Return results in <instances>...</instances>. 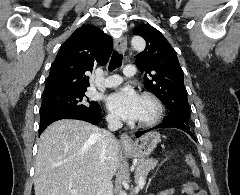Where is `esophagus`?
<instances>
[{
    "label": "esophagus",
    "mask_w": 240,
    "mask_h": 195,
    "mask_svg": "<svg viewBox=\"0 0 240 195\" xmlns=\"http://www.w3.org/2000/svg\"><path fill=\"white\" fill-rule=\"evenodd\" d=\"M114 48L117 52H125L127 48L126 37L117 38L114 42ZM120 144L123 148H132L133 140L127 133H122L120 136Z\"/></svg>",
    "instance_id": "34e87169"
}]
</instances>
